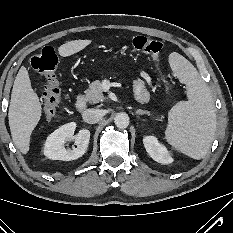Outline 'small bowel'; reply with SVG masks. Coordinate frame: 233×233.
<instances>
[{
    "label": "small bowel",
    "instance_id": "obj_1",
    "mask_svg": "<svg viewBox=\"0 0 233 233\" xmlns=\"http://www.w3.org/2000/svg\"><path fill=\"white\" fill-rule=\"evenodd\" d=\"M140 76L147 84H152V78L147 72H141Z\"/></svg>",
    "mask_w": 233,
    "mask_h": 233
}]
</instances>
